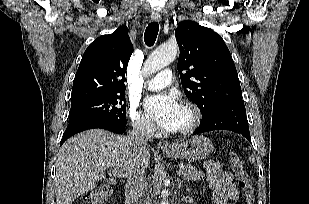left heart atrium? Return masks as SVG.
I'll use <instances>...</instances> for the list:
<instances>
[{
  "label": "left heart atrium",
  "instance_id": "1",
  "mask_svg": "<svg viewBox=\"0 0 309 204\" xmlns=\"http://www.w3.org/2000/svg\"><path fill=\"white\" fill-rule=\"evenodd\" d=\"M148 114L165 130H174L181 105L175 97L169 95H153L145 100Z\"/></svg>",
  "mask_w": 309,
  "mask_h": 204
}]
</instances>
